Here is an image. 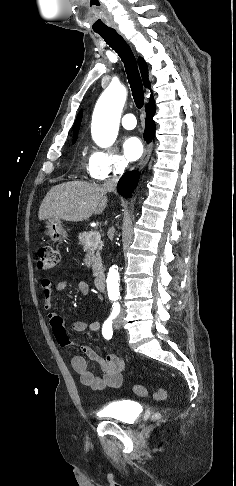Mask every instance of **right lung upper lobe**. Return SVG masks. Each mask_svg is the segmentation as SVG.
<instances>
[{"mask_svg":"<svg viewBox=\"0 0 236 486\" xmlns=\"http://www.w3.org/2000/svg\"><path fill=\"white\" fill-rule=\"evenodd\" d=\"M138 62H139V67H140L144 86L150 88L147 65H146L144 59H142V58H139ZM151 99H153L152 95H151L150 100ZM81 119H82V111H80L79 114L77 115V118H76V121H75V124H74V128H73V132H74L73 138L77 137V133L79 131Z\"/></svg>","mask_w":236,"mask_h":486,"instance_id":"cb5924a9","label":"right lung upper lobe"}]
</instances>
